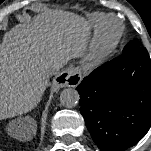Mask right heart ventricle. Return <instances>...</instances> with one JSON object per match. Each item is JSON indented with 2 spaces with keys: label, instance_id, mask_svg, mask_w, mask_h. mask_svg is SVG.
<instances>
[{
  "label": "right heart ventricle",
  "instance_id": "right-heart-ventricle-1",
  "mask_svg": "<svg viewBox=\"0 0 151 151\" xmlns=\"http://www.w3.org/2000/svg\"><path fill=\"white\" fill-rule=\"evenodd\" d=\"M104 17H106V15L102 14V13L92 14L90 17V22H91L92 26L97 27L100 24V22L104 19Z\"/></svg>",
  "mask_w": 151,
  "mask_h": 151
}]
</instances>
